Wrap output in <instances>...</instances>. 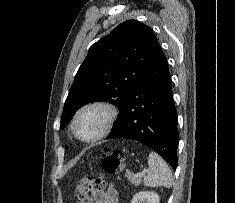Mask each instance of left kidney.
<instances>
[{
  "mask_svg": "<svg viewBox=\"0 0 235 203\" xmlns=\"http://www.w3.org/2000/svg\"><path fill=\"white\" fill-rule=\"evenodd\" d=\"M159 195L155 192L141 191L135 194L131 203H159Z\"/></svg>",
  "mask_w": 235,
  "mask_h": 203,
  "instance_id": "5707ae66",
  "label": "left kidney"
}]
</instances>
